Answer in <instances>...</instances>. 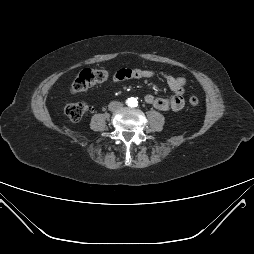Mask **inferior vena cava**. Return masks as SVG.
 Segmentation results:
<instances>
[{
    "label": "inferior vena cava",
    "instance_id": "obj_1",
    "mask_svg": "<svg viewBox=\"0 0 254 254\" xmlns=\"http://www.w3.org/2000/svg\"><path fill=\"white\" fill-rule=\"evenodd\" d=\"M123 106V104L121 102L118 101H113L109 104V109L110 110H116L119 109Z\"/></svg>",
    "mask_w": 254,
    "mask_h": 254
}]
</instances>
